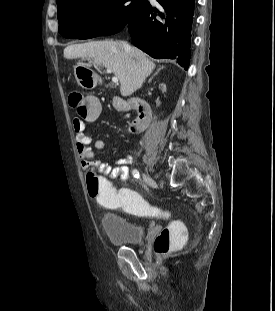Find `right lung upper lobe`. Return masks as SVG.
I'll list each match as a JSON object with an SVG mask.
<instances>
[{
	"label": "right lung upper lobe",
	"instance_id": "right-lung-upper-lobe-1",
	"mask_svg": "<svg viewBox=\"0 0 275 311\" xmlns=\"http://www.w3.org/2000/svg\"><path fill=\"white\" fill-rule=\"evenodd\" d=\"M70 0H57V6Z\"/></svg>",
	"mask_w": 275,
	"mask_h": 311
}]
</instances>
